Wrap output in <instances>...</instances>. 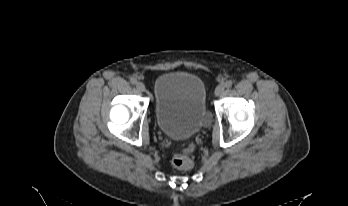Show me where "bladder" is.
Returning <instances> with one entry per match:
<instances>
[{"instance_id":"31cf9c89","label":"bladder","mask_w":348,"mask_h":206,"mask_svg":"<svg viewBox=\"0 0 348 206\" xmlns=\"http://www.w3.org/2000/svg\"><path fill=\"white\" fill-rule=\"evenodd\" d=\"M155 116L158 128L168 138L186 140L210 124L206 88L197 76L167 72L154 81Z\"/></svg>"}]
</instances>
